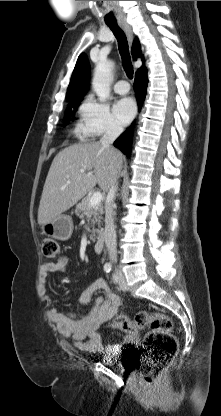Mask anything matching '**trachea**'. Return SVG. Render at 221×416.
Wrapping results in <instances>:
<instances>
[{
  "instance_id": "obj_1",
  "label": "trachea",
  "mask_w": 221,
  "mask_h": 416,
  "mask_svg": "<svg viewBox=\"0 0 221 416\" xmlns=\"http://www.w3.org/2000/svg\"><path fill=\"white\" fill-rule=\"evenodd\" d=\"M106 24L109 26V28L111 29V31L113 32L114 36L116 37L118 41V48H119V53L122 59V65L124 67V70L127 76L130 79H132L134 71H133V66L131 63V57L129 53L127 38L123 30L117 24V22H107Z\"/></svg>"
}]
</instances>
